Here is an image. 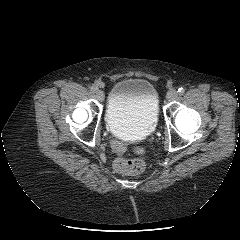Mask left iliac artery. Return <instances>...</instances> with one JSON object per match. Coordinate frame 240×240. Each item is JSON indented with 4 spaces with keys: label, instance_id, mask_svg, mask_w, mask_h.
Wrapping results in <instances>:
<instances>
[{
    "label": "left iliac artery",
    "instance_id": "1",
    "mask_svg": "<svg viewBox=\"0 0 240 240\" xmlns=\"http://www.w3.org/2000/svg\"><path fill=\"white\" fill-rule=\"evenodd\" d=\"M177 92H178L179 95H183L185 90H184V88L181 87V88L178 89Z\"/></svg>",
    "mask_w": 240,
    "mask_h": 240
}]
</instances>
